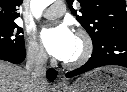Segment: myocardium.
Masks as SVG:
<instances>
[{
  "instance_id": "1",
  "label": "myocardium",
  "mask_w": 127,
  "mask_h": 92,
  "mask_svg": "<svg viewBox=\"0 0 127 92\" xmlns=\"http://www.w3.org/2000/svg\"><path fill=\"white\" fill-rule=\"evenodd\" d=\"M76 37L81 41L82 43V51L80 55L71 60V61H64L63 65L67 68H77L85 64L91 57L93 53V41L91 36L82 29H79L76 32Z\"/></svg>"
}]
</instances>
